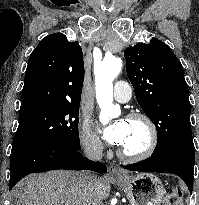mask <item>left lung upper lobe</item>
<instances>
[{"instance_id":"5c2ea615","label":"left lung upper lobe","mask_w":199,"mask_h":205,"mask_svg":"<svg viewBox=\"0 0 199 205\" xmlns=\"http://www.w3.org/2000/svg\"><path fill=\"white\" fill-rule=\"evenodd\" d=\"M124 56L137 101L157 129L152 156L178 147L194 148L188 85L170 47L153 38L148 44L126 48Z\"/></svg>"}]
</instances>
